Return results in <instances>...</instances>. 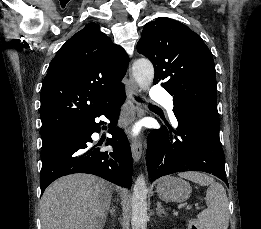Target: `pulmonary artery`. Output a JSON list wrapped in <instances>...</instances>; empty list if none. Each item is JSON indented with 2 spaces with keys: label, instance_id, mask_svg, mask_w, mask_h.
Returning <instances> with one entry per match:
<instances>
[{
  "label": "pulmonary artery",
  "instance_id": "pulmonary-artery-1",
  "mask_svg": "<svg viewBox=\"0 0 261 229\" xmlns=\"http://www.w3.org/2000/svg\"><path fill=\"white\" fill-rule=\"evenodd\" d=\"M152 94L150 95L151 99H162L157 100V105H162L164 112L170 114L171 121L174 124H177V118L173 113V100H171V94L166 89H161V84H152Z\"/></svg>",
  "mask_w": 261,
  "mask_h": 229
}]
</instances>
